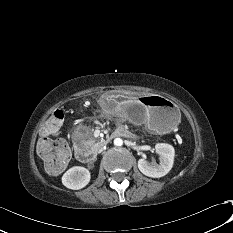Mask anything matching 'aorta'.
Segmentation results:
<instances>
[{
  "mask_svg": "<svg viewBox=\"0 0 233 233\" xmlns=\"http://www.w3.org/2000/svg\"><path fill=\"white\" fill-rule=\"evenodd\" d=\"M114 145L115 146H122L123 145V140L121 138H115L114 139Z\"/></svg>",
  "mask_w": 233,
  "mask_h": 233,
  "instance_id": "obj_1",
  "label": "aorta"
}]
</instances>
